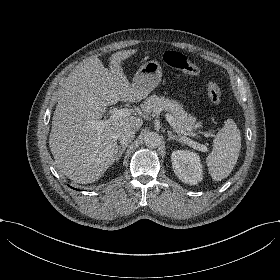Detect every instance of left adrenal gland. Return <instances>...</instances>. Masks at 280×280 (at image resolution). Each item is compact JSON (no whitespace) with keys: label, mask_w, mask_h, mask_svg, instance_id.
I'll return each instance as SVG.
<instances>
[{"label":"left adrenal gland","mask_w":280,"mask_h":280,"mask_svg":"<svg viewBox=\"0 0 280 280\" xmlns=\"http://www.w3.org/2000/svg\"><path fill=\"white\" fill-rule=\"evenodd\" d=\"M168 133V140H176L182 144H184L183 140L181 138H178L176 135H173L171 131H167Z\"/></svg>","instance_id":"a2214340"}]
</instances>
